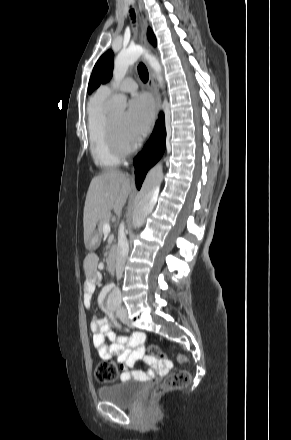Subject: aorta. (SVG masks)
<instances>
[{"label":"aorta","instance_id":"762f6f07","mask_svg":"<svg viewBox=\"0 0 291 440\" xmlns=\"http://www.w3.org/2000/svg\"><path fill=\"white\" fill-rule=\"evenodd\" d=\"M143 49L140 46H130L119 52L114 60L113 80L118 85L125 77L129 67L133 65L142 55ZM127 106L126 97L121 94H114L107 103V110L112 114H121ZM159 193V185L153 181V173H149L139 193L138 202L133 210L132 225L140 228L145 218L154 208ZM120 302V293L115 287L108 295V303L117 305Z\"/></svg>","mask_w":291,"mask_h":440}]
</instances>
